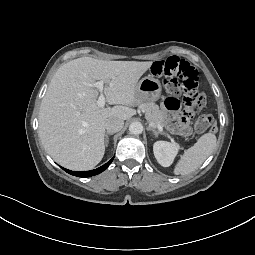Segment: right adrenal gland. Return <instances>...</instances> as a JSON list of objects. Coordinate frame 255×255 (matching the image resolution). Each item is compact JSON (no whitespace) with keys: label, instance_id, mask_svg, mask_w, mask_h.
Wrapping results in <instances>:
<instances>
[{"label":"right adrenal gland","instance_id":"1","mask_svg":"<svg viewBox=\"0 0 255 255\" xmlns=\"http://www.w3.org/2000/svg\"><path fill=\"white\" fill-rule=\"evenodd\" d=\"M109 135H111V133H109V132H107L106 134H105V145H106V147L108 146V144H109Z\"/></svg>","mask_w":255,"mask_h":255}]
</instances>
